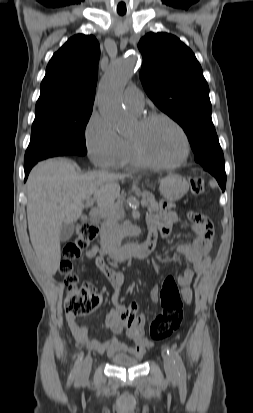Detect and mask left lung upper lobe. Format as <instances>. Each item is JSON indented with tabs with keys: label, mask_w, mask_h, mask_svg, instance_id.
I'll use <instances>...</instances> for the list:
<instances>
[{
	"label": "left lung upper lobe",
	"mask_w": 253,
	"mask_h": 413,
	"mask_svg": "<svg viewBox=\"0 0 253 413\" xmlns=\"http://www.w3.org/2000/svg\"><path fill=\"white\" fill-rule=\"evenodd\" d=\"M138 48L142 85L155 105L175 120L188 136L195 161L225 168L211 119L209 87L194 53L176 36L148 33Z\"/></svg>",
	"instance_id": "5c2ea615"
}]
</instances>
